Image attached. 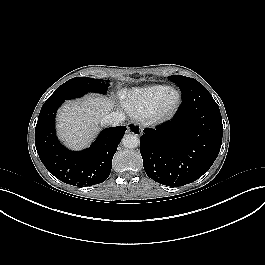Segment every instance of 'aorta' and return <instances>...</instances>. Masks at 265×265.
I'll return each mask as SVG.
<instances>
[{
	"label": "aorta",
	"instance_id": "obj_1",
	"mask_svg": "<svg viewBox=\"0 0 265 265\" xmlns=\"http://www.w3.org/2000/svg\"><path fill=\"white\" fill-rule=\"evenodd\" d=\"M122 144L125 148L134 149L140 145V139L136 134H126L122 138Z\"/></svg>",
	"mask_w": 265,
	"mask_h": 265
}]
</instances>
